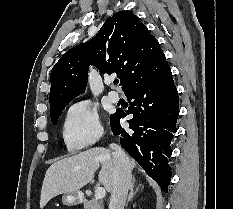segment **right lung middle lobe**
<instances>
[{"label": "right lung middle lobe", "mask_w": 233, "mask_h": 209, "mask_svg": "<svg viewBox=\"0 0 233 209\" xmlns=\"http://www.w3.org/2000/svg\"><path fill=\"white\" fill-rule=\"evenodd\" d=\"M65 107H66V105H63V106H60V107L56 108L55 110L51 111V121L54 125L57 123L58 118ZM111 117H112V115L110 116V118Z\"/></svg>", "instance_id": "obj_1"}]
</instances>
